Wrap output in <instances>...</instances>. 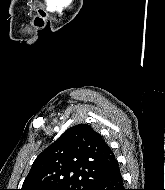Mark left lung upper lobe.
Returning <instances> with one entry per match:
<instances>
[{
    "label": "left lung upper lobe",
    "mask_w": 165,
    "mask_h": 190,
    "mask_svg": "<svg viewBox=\"0 0 165 190\" xmlns=\"http://www.w3.org/2000/svg\"><path fill=\"white\" fill-rule=\"evenodd\" d=\"M115 160L101 135L79 124L37 156L21 190H91Z\"/></svg>",
    "instance_id": "obj_1"
}]
</instances>
